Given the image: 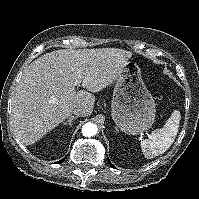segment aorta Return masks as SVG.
I'll use <instances>...</instances> for the list:
<instances>
[{
    "label": "aorta",
    "instance_id": "aorta-1",
    "mask_svg": "<svg viewBox=\"0 0 199 199\" xmlns=\"http://www.w3.org/2000/svg\"><path fill=\"white\" fill-rule=\"evenodd\" d=\"M82 134L85 137H91L97 134V126L94 123L88 122L82 127Z\"/></svg>",
    "mask_w": 199,
    "mask_h": 199
}]
</instances>
